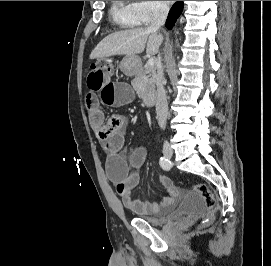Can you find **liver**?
<instances>
[{
	"label": "liver",
	"mask_w": 271,
	"mask_h": 266,
	"mask_svg": "<svg viewBox=\"0 0 271 266\" xmlns=\"http://www.w3.org/2000/svg\"><path fill=\"white\" fill-rule=\"evenodd\" d=\"M162 36L146 28H134L115 32L105 37L92 51L90 59L105 58L114 55L135 56L144 51L155 55L162 42Z\"/></svg>",
	"instance_id": "6515ba94"
}]
</instances>
